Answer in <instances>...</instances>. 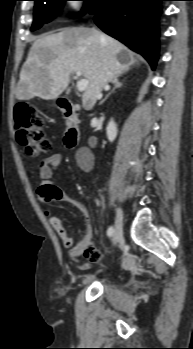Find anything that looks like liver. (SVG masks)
I'll use <instances>...</instances> for the list:
<instances>
[{
  "label": "liver",
  "instance_id": "liver-1",
  "mask_svg": "<svg viewBox=\"0 0 193 349\" xmlns=\"http://www.w3.org/2000/svg\"><path fill=\"white\" fill-rule=\"evenodd\" d=\"M123 52L132 57L129 63L118 58ZM136 62L122 43L94 28H64L34 41L20 72L16 98L56 99L67 88L71 74L81 72L89 81L83 107L90 110L102 90L109 88L107 84Z\"/></svg>",
  "mask_w": 193,
  "mask_h": 349
}]
</instances>
